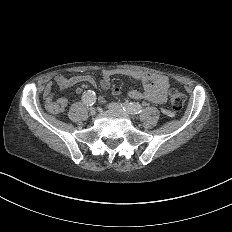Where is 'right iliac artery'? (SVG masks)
<instances>
[{"label":"right iliac artery","instance_id":"right-iliac-artery-1","mask_svg":"<svg viewBox=\"0 0 232 232\" xmlns=\"http://www.w3.org/2000/svg\"><path fill=\"white\" fill-rule=\"evenodd\" d=\"M82 101L85 104L93 105L96 101V94L92 90L85 91L82 95Z\"/></svg>","mask_w":232,"mask_h":232}]
</instances>
